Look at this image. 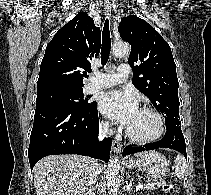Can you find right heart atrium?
<instances>
[{"instance_id": "d8ad5b80", "label": "right heart atrium", "mask_w": 211, "mask_h": 195, "mask_svg": "<svg viewBox=\"0 0 211 195\" xmlns=\"http://www.w3.org/2000/svg\"><path fill=\"white\" fill-rule=\"evenodd\" d=\"M101 126L103 130L108 131L109 130V122L108 121H102Z\"/></svg>"}]
</instances>
